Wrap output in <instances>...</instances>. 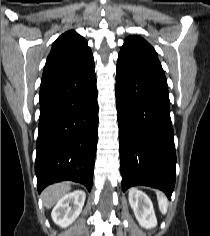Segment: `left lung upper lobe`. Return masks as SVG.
Segmentation results:
<instances>
[{
  "label": "left lung upper lobe",
  "instance_id": "5c2ea615",
  "mask_svg": "<svg viewBox=\"0 0 210 236\" xmlns=\"http://www.w3.org/2000/svg\"><path fill=\"white\" fill-rule=\"evenodd\" d=\"M118 63L134 69L164 74L156 51L139 36H129L125 39L118 56Z\"/></svg>",
  "mask_w": 210,
  "mask_h": 236
}]
</instances>
